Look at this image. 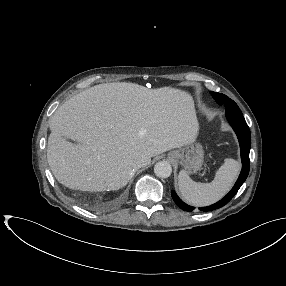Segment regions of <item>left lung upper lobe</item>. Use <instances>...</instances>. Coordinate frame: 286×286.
Here are the masks:
<instances>
[{
  "mask_svg": "<svg viewBox=\"0 0 286 286\" xmlns=\"http://www.w3.org/2000/svg\"><path fill=\"white\" fill-rule=\"evenodd\" d=\"M210 93L219 105L225 106L226 113L230 112L242 114L237 104L226 95L212 91Z\"/></svg>",
  "mask_w": 286,
  "mask_h": 286,
  "instance_id": "5c2ea615",
  "label": "left lung upper lobe"
}]
</instances>
